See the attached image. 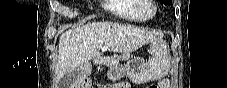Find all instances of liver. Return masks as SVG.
<instances>
[{"mask_svg": "<svg viewBox=\"0 0 227 88\" xmlns=\"http://www.w3.org/2000/svg\"><path fill=\"white\" fill-rule=\"evenodd\" d=\"M158 33L140 27L116 22H94L62 33L59 39L58 62L55 79L82 68L101 49L113 52H133L156 40Z\"/></svg>", "mask_w": 227, "mask_h": 88, "instance_id": "obj_1", "label": "liver"}]
</instances>
